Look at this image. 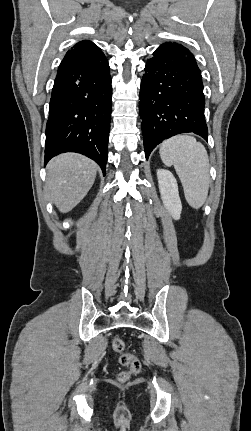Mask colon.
I'll return each instance as SVG.
<instances>
[{
	"instance_id": "1",
	"label": "colon",
	"mask_w": 251,
	"mask_h": 431,
	"mask_svg": "<svg viewBox=\"0 0 251 431\" xmlns=\"http://www.w3.org/2000/svg\"><path fill=\"white\" fill-rule=\"evenodd\" d=\"M111 347L113 351L118 354L119 364L128 368L127 371H123L119 374L120 381L124 382L130 378V376L140 372L141 365L138 358L134 354L126 351L125 342L121 337H113Z\"/></svg>"
}]
</instances>
